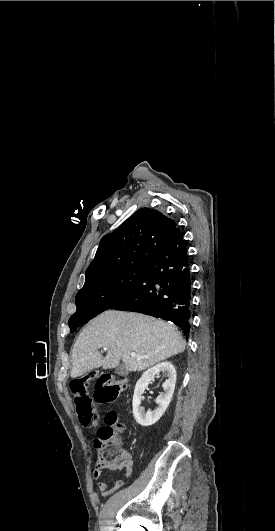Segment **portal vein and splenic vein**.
<instances>
[{
    "instance_id": "portal-vein-and-splenic-vein-1",
    "label": "portal vein and splenic vein",
    "mask_w": 275,
    "mask_h": 531,
    "mask_svg": "<svg viewBox=\"0 0 275 531\" xmlns=\"http://www.w3.org/2000/svg\"><path fill=\"white\" fill-rule=\"evenodd\" d=\"M104 351H107V347H104ZM131 357H136V359H143V357H137L136 353H131Z\"/></svg>"
}]
</instances>
